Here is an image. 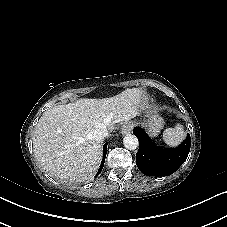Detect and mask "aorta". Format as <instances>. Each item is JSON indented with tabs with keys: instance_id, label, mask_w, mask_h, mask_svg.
<instances>
[{
	"instance_id": "762f6f07",
	"label": "aorta",
	"mask_w": 227,
	"mask_h": 227,
	"mask_svg": "<svg viewBox=\"0 0 227 227\" xmlns=\"http://www.w3.org/2000/svg\"><path fill=\"white\" fill-rule=\"evenodd\" d=\"M123 144L126 149L135 150L138 147L139 142L135 135L128 134L124 137Z\"/></svg>"
}]
</instances>
